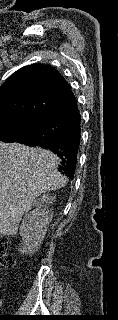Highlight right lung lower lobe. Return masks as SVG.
Returning <instances> with one entry per match:
<instances>
[{
	"instance_id": "obj_1",
	"label": "right lung lower lobe",
	"mask_w": 118,
	"mask_h": 320,
	"mask_svg": "<svg viewBox=\"0 0 118 320\" xmlns=\"http://www.w3.org/2000/svg\"><path fill=\"white\" fill-rule=\"evenodd\" d=\"M80 122V111L74 97L56 108L39 132L18 142L51 150L63 161L60 171L72 178L80 144Z\"/></svg>"
}]
</instances>
